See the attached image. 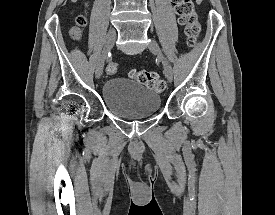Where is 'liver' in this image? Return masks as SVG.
<instances>
[{
    "instance_id": "obj_1",
    "label": "liver",
    "mask_w": 275,
    "mask_h": 215,
    "mask_svg": "<svg viewBox=\"0 0 275 215\" xmlns=\"http://www.w3.org/2000/svg\"><path fill=\"white\" fill-rule=\"evenodd\" d=\"M77 0H72V2H76Z\"/></svg>"
}]
</instances>
